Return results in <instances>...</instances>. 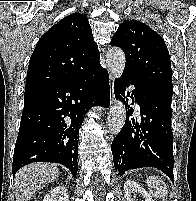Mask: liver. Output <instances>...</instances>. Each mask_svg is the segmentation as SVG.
Segmentation results:
<instances>
[{
    "label": "liver",
    "mask_w": 196,
    "mask_h": 201,
    "mask_svg": "<svg viewBox=\"0 0 196 201\" xmlns=\"http://www.w3.org/2000/svg\"><path fill=\"white\" fill-rule=\"evenodd\" d=\"M58 176L56 164L38 162L22 167L14 180L16 201H28L35 192L55 181Z\"/></svg>",
    "instance_id": "6515ba94"
}]
</instances>
